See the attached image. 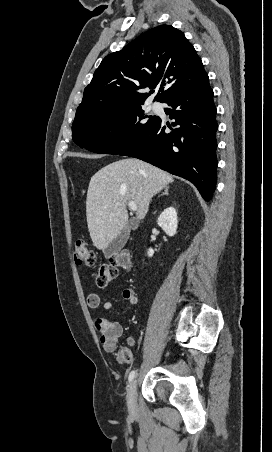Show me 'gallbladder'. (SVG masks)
Masks as SVG:
<instances>
[{
  "label": "gallbladder",
  "mask_w": 272,
  "mask_h": 452,
  "mask_svg": "<svg viewBox=\"0 0 272 452\" xmlns=\"http://www.w3.org/2000/svg\"><path fill=\"white\" fill-rule=\"evenodd\" d=\"M137 227L136 221L130 220L126 226L121 230L120 234L115 237L112 242L103 250L104 256L109 258L112 255H116L125 246L131 230H135Z\"/></svg>",
  "instance_id": "gallbladder-1"
}]
</instances>
